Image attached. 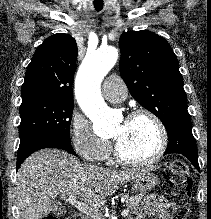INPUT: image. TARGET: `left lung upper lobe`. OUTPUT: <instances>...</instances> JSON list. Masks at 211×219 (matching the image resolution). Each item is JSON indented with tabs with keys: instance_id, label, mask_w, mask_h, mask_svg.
Returning <instances> with one entry per match:
<instances>
[{
	"instance_id": "left-lung-upper-lobe-1",
	"label": "left lung upper lobe",
	"mask_w": 211,
	"mask_h": 219,
	"mask_svg": "<svg viewBox=\"0 0 211 219\" xmlns=\"http://www.w3.org/2000/svg\"><path fill=\"white\" fill-rule=\"evenodd\" d=\"M119 44L120 74L133 98L167 130L179 121L191 120L178 60L168 42L142 30L123 33Z\"/></svg>"
}]
</instances>
